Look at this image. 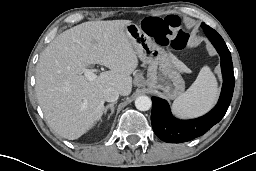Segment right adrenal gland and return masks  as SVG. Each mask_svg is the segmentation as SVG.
Here are the masks:
<instances>
[{
	"mask_svg": "<svg viewBox=\"0 0 256 171\" xmlns=\"http://www.w3.org/2000/svg\"><path fill=\"white\" fill-rule=\"evenodd\" d=\"M115 104H116V102H113V103L108 104V105L104 108V111H103L104 115H106V114H107V111L110 109L111 112H110V116H109V117H111V116L113 115V113H114V109H115L114 105H115Z\"/></svg>",
	"mask_w": 256,
	"mask_h": 171,
	"instance_id": "1",
	"label": "right adrenal gland"
}]
</instances>
